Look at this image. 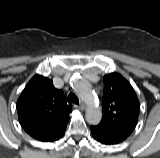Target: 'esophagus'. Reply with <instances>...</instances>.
I'll list each match as a JSON object with an SVG mask.
<instances>
[{
	"instance_id": "obj_1",
	"label": "esophagus",
	"mask_w": 160,
	"mask_h": 158,
	"mask_svg": "<svg viewBox=\"0 0 160 158\" xmlns=\"http://www.w3.org/2000/svg\"><path fill=\"white\" fill-rule=\"evenodd\" d=\"M75 107L79 110H84L85 109V104L84 103H80L79 105H75Z\"/></svg>"
}]
</instances>
